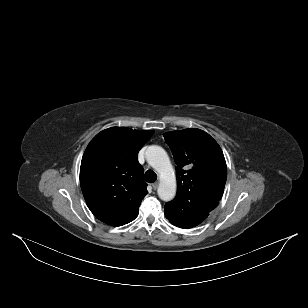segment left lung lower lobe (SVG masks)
<instances>
[{
    "label": "left lung lower lobe",
    "instance_id": "obj_1",
    "mask_svg": "<svg viewBox=\"0 0 308 308\" xmlns=\"http://www.w3.org/2000/svg\"><path fill=\"white\" fill-rule=\"evenodd\" d=\"M208 215L209 214L202 215V216H199V217H196V218H193V219H190V220H186V221H173V220H170V219H169V221L173 225L180 227V228H192V227H195L198 224H200L203 220H205L208 217Z\"/></svg>",
    "mask_w": 308,
    "mask_h": 308
}]
</instances>
